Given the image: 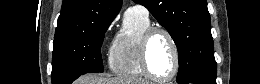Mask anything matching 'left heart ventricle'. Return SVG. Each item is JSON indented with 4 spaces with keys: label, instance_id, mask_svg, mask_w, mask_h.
<instances>
[{
    "label": "left heart ventricle",
    "instance_id": "left-heart-ventricle-1",
    "mask_svg": "<svg viewBox=\"0 0 260 84\" xmlns=\"http://www.w3.org/2000/svg\"><path fill=\"white\" fill-rule=\"evenodd\" d=\"M149 65L159 77H168L174 68V54L170 41L162 33L153 36L149 47Z\"/></svg>",
    "mask_w": 260,
    "mask_h": 84
}]
</instances>
